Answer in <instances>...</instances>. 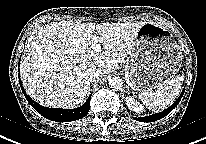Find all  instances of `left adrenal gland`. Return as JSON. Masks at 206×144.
<instances>
[{"instance_id":"obj_1","label":"left adrenal gland","mask_w":206,"mask_h":144,"mask_svg":"<svg viewBox=\"0 0 206 144\" xmlns=\"http://www.w3.org/2000/svg\"><path fill=\"white\" fill-rule=\"evenodd\" d=\"M127 92L130 94V90H129V88H127Z\"/></svg>"}]
</instances>
